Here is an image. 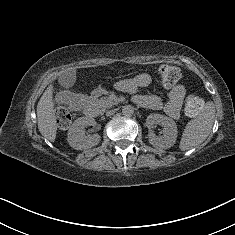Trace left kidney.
<instances>
[{
  "instance_id": "obj_1",
  "label": "left kidney",
  "mask_w": 235,
  "mask_h": 235,
  "mask_svg": "<svg viewBox=\"0 0 235 235\" xmlns=\"http://www.w3.org/2000/svg\"><path fill=\"white\" fill-rule=\"evenodd\" d=\"M145 125L149 129L148 141L153 147L168 149L175 144L178 130L173 119L160 114H150L146 119ZM156 125L163 127L162 135L160 136H157L152 130Z\"/></svg>"
}]
</instances>
